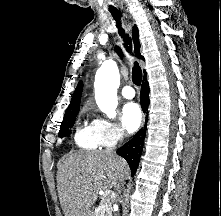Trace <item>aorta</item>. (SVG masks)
<instances>
[{
	"instance_id": "obj_1",
	"label": "aorta",
	"mask_w": 221,
	"mask_h": 216,
	"mask_svg": "<svg viewBox=\"0 0 221 216\" xmlns=\"http://www.w3.org/2000/svg\"><path fill=\"white\" fill-rule=\"evenodd\" d=\"M119 85L120 75L116 62L111 59L104 61L95 76V99L99 109L109 118L116 116Z\"/></svg>"
}]
</instances>
